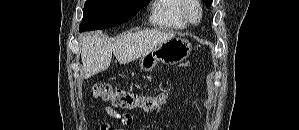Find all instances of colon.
Instances as JSON below:
<instances>
[{"label":"colon","instance_id":"1","mask_svg":"<svg viewBox=\"0 0 299 130\" xmlns=\"http://www.w3.org/2000/svg\"><path fill=\"white\" fill-rule=\"evenodd\" d=\"M92 93L94 97L111 102L115 107L122 109L140 108L145 111H152L166 105L172 96L171 91L143 96L125 89L102 84L93 85Z\"/></svg>","mask_w":299,"mask_h":130}]
</instances>
